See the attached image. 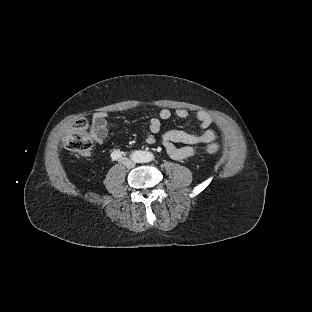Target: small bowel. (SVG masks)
Instances as JSON below:
<instances>
[{"mask_svg":"<svg viewBox=\"0 0 312 312\" xmlns=\"http://www.w3.org/2000/svg\"><path fill=\"white\" fill-rule=\"evenodd\" d=\"M174 113L180 119H186L190 115L189 110L186 108H177ZM171 115L172 111L169 108H161L150 119L148 134L145 137V142L148 145H154L157 142L161 132L162 121L168 120ZM195 115L202 129L201 133L194 134L174 129L166 131L161 136V143L170 158L174 160L189 158L194 154V146L209 144L216 140V133L210 129L214 122L213 117L203 110L196 111ZM107 117L108 113L97 112L90 121V134L97 143L103 142L107 136ZM177 144H182L183 146L178 147ZM85 156H89V153L85 154Z\"/></svg>","mask_w":312,"mask_h":312,"instance_id":"1","label":"small bowel"}]
</instances>
